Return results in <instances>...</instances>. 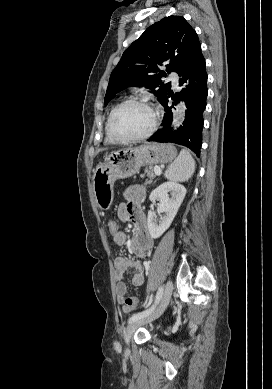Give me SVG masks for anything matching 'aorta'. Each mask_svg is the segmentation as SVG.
I'll use <instances>...</instances> for the list:
<instances>
[{"label":"aorta","mask_w":272,"mask_h":389,"mask_svg":"<svg viewBox=\"0 0 272 389\" xmlns=\"http://www.w3.org/2000/svg\"><path fill=\"white\" fill-rule=\"evenodd\" d=\"M183 118H184V108L180 107V109L177 112V116L173 121V125L175 126L179 125L180 123L179 121L182 120Z\"/></svg>","instance_id":"762f6f07"}]
</instances>
